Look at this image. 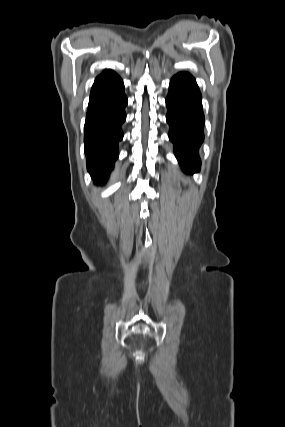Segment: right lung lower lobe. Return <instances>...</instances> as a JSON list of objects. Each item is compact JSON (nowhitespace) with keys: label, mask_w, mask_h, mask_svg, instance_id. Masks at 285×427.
I'll list each match as a JSON object with an SVG mask.
<instances>
[{"label":"right lung lower lobe","mask_w":285,"mask_h":427,"mask_svg":"<svg viewBox=\"0 0 285 427\" xmlns=\"http://www.w3.org/2000/svg\"><path fill=\"white\" fill-rule=\"evenodd\" d=\"M126 105L121 78L111 70L100 74L91 89L84 135L87 168L97 184L107 179L118 157Z\"/></svg>","instance_id":"98d812e1"}]
</instances>
